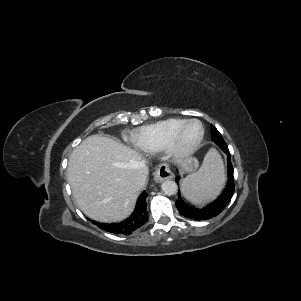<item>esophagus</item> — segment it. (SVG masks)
Returning <instances> with one entry per match:
<instances>
[{
	"instance_id": "esophagus-1",
	"label": "esophagus",
	"mask_w": 301,
	"mask_h": 301,
	"mask_svg": "<svg viewBox=\"0 0 301 301\" xmlns=\"http://www.w3.org/2000/svg\"><path fill=\"white\" fill-rule=\"evenodd\" d=\"M173 176L169 166L165 163L160 164L154 172V180L158 183L166 179H171Z\"/></svg>"
}]
</instances>
